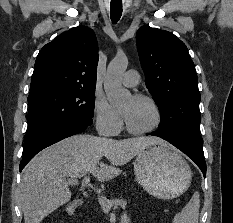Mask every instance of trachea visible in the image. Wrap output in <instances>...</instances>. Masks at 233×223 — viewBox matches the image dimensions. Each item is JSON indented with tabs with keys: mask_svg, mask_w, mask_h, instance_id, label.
Listing matches in <instances>:
<instances>
[{
	"mask_svg": "<svg viewBox=\"0 0 233 223\" xmlns=\"http://www.w3.org/2000/svg\"><path fill=\"white\" fill-rule=\"evenodd\" d=\"M122 15V3L111 2L110 16L112 23H116Z\"/></svg>",
	"mask_w": 233,
	"mask_h": 223,
	"instance_id": "1",
	"label": "trachea"
}]
</instances>
